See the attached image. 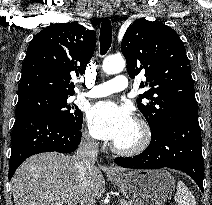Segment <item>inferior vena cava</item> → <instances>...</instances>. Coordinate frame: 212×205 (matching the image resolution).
I'll list each match as a JSON object with an SVG mask.
<instances>
[{"mask_svg":"<svg viewBox=\"0 0 212 205\" xmlns=\"http://www.w3.org/2000/svg\"><path fill=\"white\" fill-rule=\"evenodd\" d=\"M98 156V143L90 136H85L74 156L75 166L78 169V180L81 187L89 185V173L93 171ZM87 205H94L93 200H89Z\"/></svg>","mask_w":212,"mask_h":205,"instance_id":"1","label":"inferior vena cava"}]
</instances>
